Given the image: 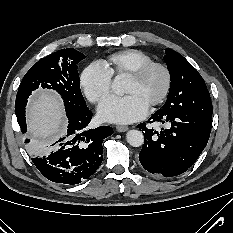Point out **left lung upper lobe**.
<instances>
[{"instance_id": "left-lung-upper-lobe-1", "label": "left lung upper lobe", "mask_w": 233, "mask_h": 233, "mask_svg": "<svg viewBox=\"0 0 233 233\" xmlns=\"http://www.w3.org/2000/svg\"><path fill=\"white\" fill-rule=\"evenodd\" d=\"M164 61L171 76V85L161 109L189 111L212 118L209 91L197 70L182 55L169 48Z\"/></svg>"}]
</instances>
